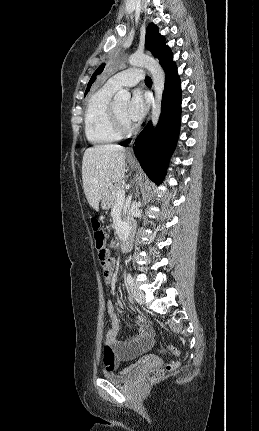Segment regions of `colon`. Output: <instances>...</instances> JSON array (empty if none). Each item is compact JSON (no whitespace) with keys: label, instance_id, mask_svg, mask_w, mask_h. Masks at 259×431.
Returning <instances> with one entry per match:
<instances>
[{"label":"colon","instance_id":"obj_1","mask_svg":"<svg viewBox=\"0 0 259 431\" xmlns=\"http://www.w3.org/2000/svg\"><path fill=\"white\" fill-rule=\"evenodd\" d=\"M92 231H93L95 245L98 250V256L101 263V268H103L104 266L112 267V258L106 244L105 231L101 226L100 222L95 218L92 219ZM104 352L108 356H111V349L108 345L105 346ZM167 352H169L173 356H177L179 354V351L175 347H169L167 349ZM177 366H178V362L173 361L170 364H168L165 369L151 370L147 376L148 380L156 381L160 379L166 371H173L177 368Z\"/></svg>","mask_w":259,"mask_h":431}]
</instances>
